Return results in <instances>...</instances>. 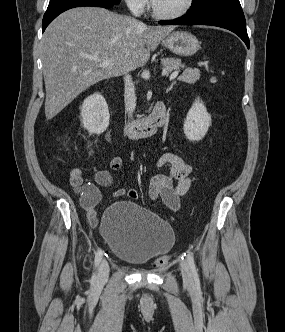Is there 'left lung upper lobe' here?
Here are the masks:
<instances>
[{
  "label": "left lung upper lobe",
  "instance_id": "obj_1",
  "mask_svg": "<svg viewBox=\"0 0 285 332\" xmlns=\"http://www.w3.org/2000/svg\"><path fill=\"white\" fill-rule=\"evenodd\" d=\"M226 4H240V2L239 0H193L191 9L188 13L199 12L212 7Z\"/></svg>",
  "mask_w": 285,
  "mask_h": 332
}]
</instances>
